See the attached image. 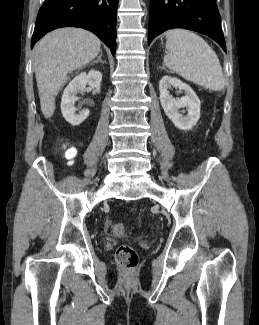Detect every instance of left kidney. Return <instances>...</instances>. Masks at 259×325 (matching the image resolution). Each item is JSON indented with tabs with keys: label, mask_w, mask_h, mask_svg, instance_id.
I'll list each match as a JSON object with an SVG mask.
<instances>
[{
	"label": "left kidney",
	"mask_w": 259,
	"mask_h": 325,
	"mask_svg": "<svg viewBox=\"0 0 259 325\" xmlns=\"http://www.w3.org/2000/svg\"><path fill=\"white\" fill-rule=\"evenodd\" d=\"M171 87L185 91V96L175 99L169 95ZM160 102L166 116L175 127L181 130H190L200 118V100L193 89L177 78L163 76L159 82ZM180 108H186L187 115L179 113Z\"/></svg>",
	"instance_id": "obj_1"
}]
</instances>
